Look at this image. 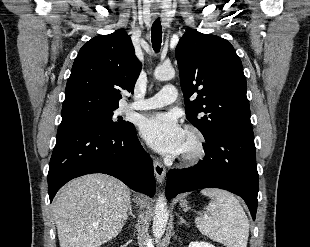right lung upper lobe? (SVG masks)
Listing matches in <instances>:
<instances>
[{
	"label": "right lung upper lobe",
	"mask_w": 310,
	"mask_h": 247,
	"mask_svg": "<svg viewBox=\"0 0 310 247\" xmlns=\"http://www.w3.org/2000/svg\"><path fill=\"white\" fill-rule=\"evenodd\" d=\"M140 70L141 63L124 30L92 38L75 58L62 110L76 106L118 108L120 92L133 93Z\"/></svg>",
	"instance_id": "cb5924a9"
}]
</instances>
